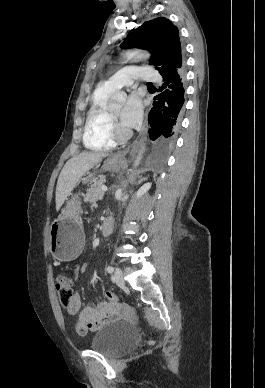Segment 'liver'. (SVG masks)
<instances>
[{
  "label": "liver",
  "instance_id": "6515ba94",
  "mask_svg": "<svg viewBox=\"0 0 265 388\" xmlns=\"http://www.w3.org/2000/svg\"><path fill=\"white\" fill-rule=\"evenodd\" d=\"M106 152H82L66 162L57 182L56 188V210H60L62 204L67 200L73 188L80 182L82 176L94 168L98 162L106 158Z\"/></svg>",
  "mask_w": 265,
  "mask_h": 388
}]
</instances>
